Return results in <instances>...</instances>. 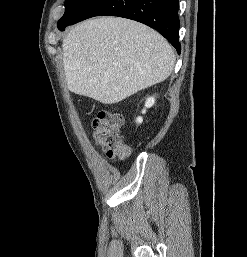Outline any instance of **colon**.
I'll use <instances>...</instances> for the list:
<instances>
[{
  "mask_svg": "<svg viewBox=\"0 0 247 257\" xmlns=\"http://www.w3.org/2000/svg\"><path fill=\"white\" fill-rule=\"evenodd\" d=\"M123 124L122 116L109 111H99L93 119V139L108 157L124 158L129 155V148L120 137Z\"/></svg>",
  "mask_w": 247,
  "mask_h": 257,
  "instance_id": "5ec220e1",
  "label": "colon"
}]
</instances>
